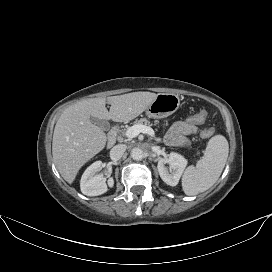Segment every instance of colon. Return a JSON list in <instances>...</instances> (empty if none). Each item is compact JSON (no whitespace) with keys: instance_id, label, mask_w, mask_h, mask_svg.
Instances as JSON below:
<instances>
[{"instance_id":"colon-1","label":"colon","mask_w":272,"mask_h":272,"mask_svg":"<svg viewBox=\"0 0 272 272\" xmlns=\"http://www.w3.org/2000/svg\"><path fill=\"white\" fill-rule=\"evenodd\" d=\"M206 119L207 113L205 111H199L189 118V122L192 124H202L206 121ZM213 132L214 131L211 128H204L201 131V136L203 138H209L213 134Z\"/></svg>"}]
</instances>
